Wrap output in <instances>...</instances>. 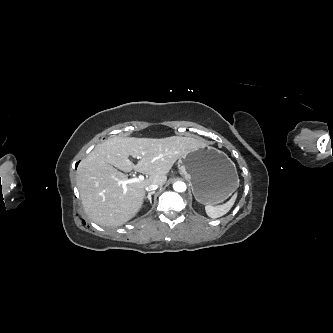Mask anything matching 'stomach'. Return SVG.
Wrapping results in <instances>:
<instances>
[{
  "label": "stomach",
  "instance_id": "1",
  "mask_svg": "<svg viewBox=\"0 0 333 333\" xmlns=\"http://www.w3.org/2000/svg\"><path fill=\"white\" fill-rule=\"evenodd\" d=\"M177 164L180 174L190 182L195 199L204 205L222 203L239 185L234 162L214 147L193 149Z\"/></svg>",
  "mask_w": 333,
  "mask_h": 333
}]
</instances>
